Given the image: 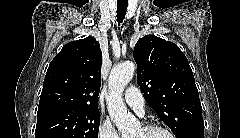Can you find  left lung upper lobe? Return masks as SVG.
<instances>
[{
  "mask_svg": "<svg viewBox=\"0 0 240 138\" xmlns=\"http://www.w3.org/2000/svg\"><path fill=\"white\" fill-rule=\"evenodd\" d=\"M137 80L150 107L177 138L204 127L202 107L189 62L179 47L146 35L134 47Z\"/></svg>",
  "mask_w": 240,
  "mask_h": 138,
  "instance_id": "1",
  "label": "left lung upper lobe"
}]
</instances>
